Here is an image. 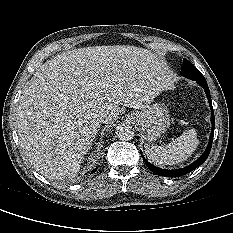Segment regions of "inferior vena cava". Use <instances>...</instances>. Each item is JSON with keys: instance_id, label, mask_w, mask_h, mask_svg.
<instances>
[{"instance_id": "1", "label": "inferior vena cava", "mask_w": 233, "mask_h": 233, "mask_svg": "<svg viewBox=\"0 0 233 233\" xmlns=\"http://www.w3.org/2000/svg\"><path fill=\"white\" fill-rule=\"evenodd\" d=\"M95 121L97 122V123H103L104 122V117L103 116H97L96 118H95Z\"/></svg>"}]
</instances>
